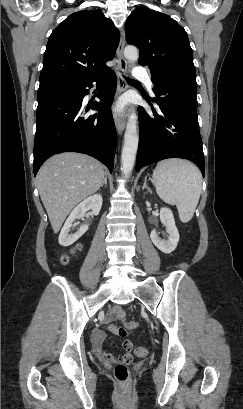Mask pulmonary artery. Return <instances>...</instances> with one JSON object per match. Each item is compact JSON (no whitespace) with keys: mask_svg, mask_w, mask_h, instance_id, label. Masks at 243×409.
<instances>
[{"mask_svg":"<svg viewBox=\"0 0 243 409\" xmlns=\"http://www.w3.org/2000/svg\"><path fill=\"white\" fill-rule=\"evenodd\" d=\"M133 76L137 80L144 81L147 84L148 89L152 91L153 83H152L151 77L146 71L139 69V66H137L136 70L133 73Z\"/></svg>","mask_w":243,"mask_h":409,"instance_id":"obj_1","label":"pulmonary artery"}]
</instances>
